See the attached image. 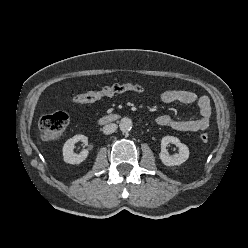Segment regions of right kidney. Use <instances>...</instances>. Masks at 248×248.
Wrapping results in <instances>:
<instances>
[{
    "label": "right kidney",
    "mask_w": 248,
    "mask_h": 248,
    "mask_svg": "<svg viewBox=\"0 0 248 248\" xmlns=\"http://www.w3.org/2000/svg\"><path fill=\"white\" fill-rule=\"evenodd\" d=\"M78 141L83 142L87 145L88 138L85 135H75L68 139L63 146V159L66 163L69 164H80L88 156V150L84 149L80 154L74 153V144Z\"/></svg>",
    "instance_id": "right-kidney-1"
}]
</instances>
